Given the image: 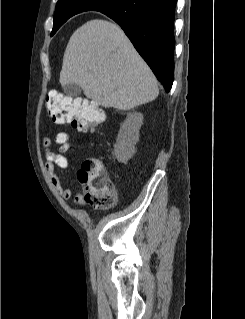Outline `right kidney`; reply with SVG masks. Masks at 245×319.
I'll use <instances>...</instances> for the list:
<instances>
[{"instance_id": "obj_1", "label": "right kidney", "mask_w": 245, "mask_h": 319, "mask_svg": "<svg viewBox=\"0 0 245 319\" xmlns=\"http://www.w3.org/2000/svg\"><path fill=\"white\" fill-rule=\"evenodd\" d=\"M143 124L141 113H129L118 132L116 144L114 145V156L126 164L136 153L135 145L139 140V130Z\"/></svg>"}]
</instances>
